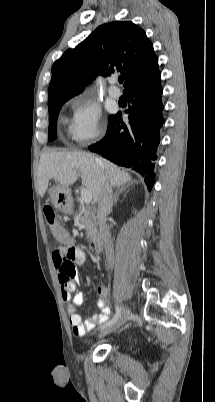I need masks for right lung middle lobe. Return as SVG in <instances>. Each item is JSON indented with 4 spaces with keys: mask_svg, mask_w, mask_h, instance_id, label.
<instances>
[{
    "mask_svg": "<svg viewBox=\"0 0 215 402\" xmlns=\"http://www.w3.org/2000/svg\"><path fill=\"white\" fill-rule=\"evenodd\" d=\"M70 98H58L54 101L50 102L48 105L49 108V129H48V138L49 140H54L56 138V126H57V118L59 111L62 105L69 100Z\"/></svg>",
    "mask_w": 215,
    "mask_h": 402,
    "instance_id": "obj_1",
    "label": "right lung middle lobe"
}]
</instances>
